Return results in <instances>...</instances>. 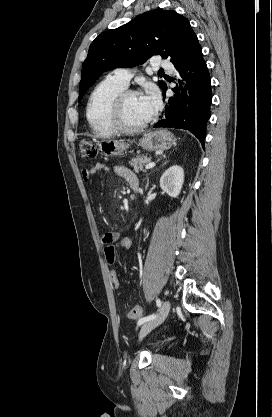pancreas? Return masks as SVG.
<instances>
[{
	"mask_svg": "<svg viewBox=\"0 0 272 417\" xmlns=\"http://www.w3.org/2000/svg\"><path fill=\"white\" fill-rule=\"evenodd\" d=\"M150 162V158L147 156H141V157H136L131 159V161L129 162V164L134 168L135 172H139L140 171H145L143 169V167Z\"/></svg>",
	"mask_w": 272,
	"mask_h": 417,
	"instance_id": "obj_1",
	"label": "pancreas"
}]
</instances>
